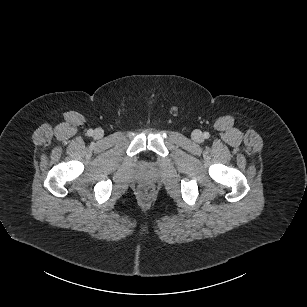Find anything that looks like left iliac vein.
Here are the masks:
<instances>
[{
  "label": "left iliac vein",
  "instance_id": "4c4485c4",
  "mask_svg": "<svg viewBox=\"0 0 307 307\" xmlns=\"http://www.w3.org/2000/svg\"><path fill=\"white\" fill-rule=\"evenodd\" d=\"M192 139H193L195 142H202V141H203V134L201 133V131L195 130V131H193V133H192Z\"/></svg>",
  "mask_w": 307,
  "mask_h": 307
}]
</instances>
